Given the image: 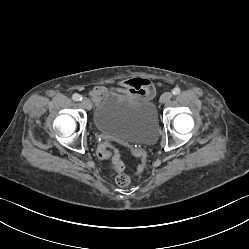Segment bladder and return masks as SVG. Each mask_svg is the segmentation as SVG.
<instances>
[{
    "label": "bladder",
    "instance_id": "1",
    "mask_svg": "<svg viewBox=\"0 0 249 249\" xmlns=\"http://www.w3.org/2000/svg\"><path fill=\"white\" fill-rule=\"evenodd\" d=\"M93 122L100 132L129 144H151L158 135L153 102L127 93L107 92L96 107Z\"/></svg>",
    "mask_w": 249,
    "mask_h": 249
}]
</instances>
